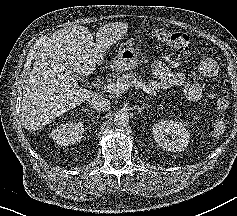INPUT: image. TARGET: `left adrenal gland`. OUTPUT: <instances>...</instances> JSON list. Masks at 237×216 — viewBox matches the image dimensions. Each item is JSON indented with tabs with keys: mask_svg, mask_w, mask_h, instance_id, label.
Wrapping results in <instances>:
<instances>
[{
	"mask_svg": "<svg viewBox=\"0 0 237 216\" xmlns=\"http://www.w3.org/2000/svg\"><path fill=\"white\" fill-rule=\"evenodd\" d=\"M145 109V107H143V108H138L137 110H138V112H141V111H143Z\"/></svg>",
	"mask_w": 237,
	"mask_h": 216,
	"instance_id": "a2214340",
	"label": "left adrenal gland"
}]
</instances>
